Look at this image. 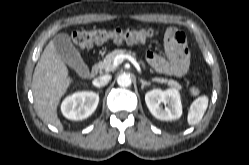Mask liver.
<instances>
[{"label":"liver","mask_w":249,"mask_h":165,"mask_svg":"<svg viewBox=\"0 0 249 165\" xmlns=\"http://www.w3.org/2000/svg\"><path fill=\"white\" fill-rule=\"evenodd\" d=\"M71 83L65 62L56 52L54 40H51L35 67L31 85L36 111L45 123L63 129L57 106Z\"/></svg>","instance_id":"liver-1"}]
</instances>
